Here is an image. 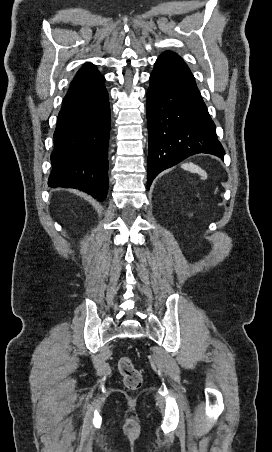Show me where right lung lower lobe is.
Listing matches in <instances>:
<instances>
[{
	"mask_svg": "<svg viewBox=\"0 0 272 452\" xmlns=\"http://www.w3.org/2000/svg\"><path fill=\"white\" fill-rule=\"evenodd\" d=\"M100 76L70 86L54 133L49 187L75 188L99 201L108 191L109 96Z\"/></svg>",
	"mask_w": 272,
	"mask_h": 452,
	"instance_id": "right-lung-lower-lobe-1",
	"label": "right lung lower lobe"
}]
</instances>
